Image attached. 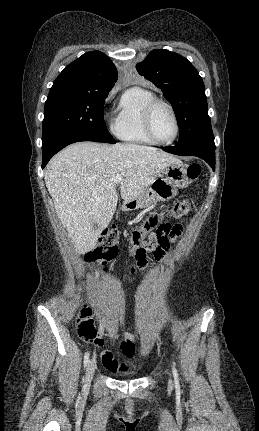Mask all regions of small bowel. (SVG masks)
<instances>
[{
    "label": "small bowel",
    "mask_w": 259,
    "mask_h": 431,
    "mask_svg": "<svg viewBox=\"0 0 259 431\" xmlns=\"http://www.w3.org/2000/svg\"><path fill=\"white\" fill-rule=\"evenodd\" d=\"M147 268L146 267H136L134 269H131V275L130 278H133L134 276L138 274H146L147 273ZM134 280H137V277H134ZM124 341H129L132 342V340L134 339V336L130 333H126L124 335ZM134 353L129 355V357H133ZM102 362L104 364V366L112 371V372H116L119 369V365L117 360L114 358L113 354L109 351H104L103 355H102Z\"/></svg>",
    "instance_id": "obj_1"
}]
</instances>
